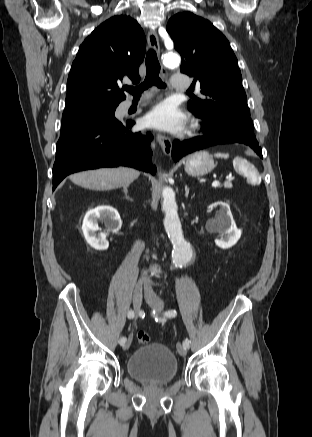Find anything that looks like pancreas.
Here are the masks:
<instances>
[{
    "label": "pancreas",
    "instance_id": "cf45deb5",
    "mask_svg": "<svg viewBox=\"0 0 312 437\" xmlns=\"http://www.w3.org/2000/svg\"><path fill=\"white\" fill-rule=\"evenodd\" d=\"M223 186H224V188L231 189L232 188V183L227 181V182L224 183Z\"/></svg>",
    "mask_w": 312,
    "mask_h": 437
}]
</instances>
